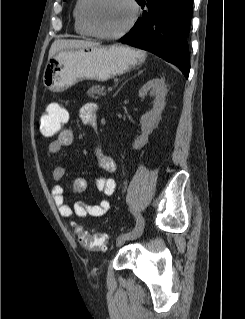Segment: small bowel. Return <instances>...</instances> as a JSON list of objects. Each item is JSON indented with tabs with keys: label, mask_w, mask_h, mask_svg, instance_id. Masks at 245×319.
Here are the masks:
<instances>
[{
	"label": "small bowel",
	"mask_w": 245,
	"mask_h": 319,
	"mask_svg": "<svg viewBox=\"0 0 245 319\" xmlns=\"http://www.w3.org/2000/svg\"><path fill=\"white\" fill-rule=\"evenodd\" d=\"M57 104H51L47 108ZM81 120L91 126L95 127L98 118V106L94 103H87L83 105L80 110ZM74 139V134L71 129L62 130L58 136L52 140L49 144V151L52 154H59L60 151L72 144ZM98 164L101 170L109 173H115L117 171V165L114 159L106 154L96 151ZM66 175V168L58 164L53 168L52 176L56 181L62 180ZM117 187L115 178L108 176H100L98 179V188L105 195H112ZM86 189V181L84 178H75L69 189L70 194H80ZM52 198L58 209V212L63 218L70 219L73 216L78 218H86L87 216L100 217L108 212L110 209V203L108 200L103 199L98 205H90L83 201H77L74 203L73 208H71L65 201V188L58 184L52 189Z\"/></svg>",
	"instance_id": "1"
}]
</instances>
